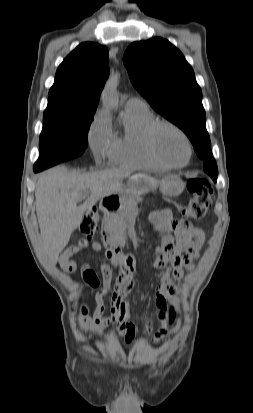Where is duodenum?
Wrapping results in <instances>:
<instances>
[{
  "label": "duodenum",
  "instance_id": "410a0bca",
  "mask_svg": "<svg viewBox=\"0 0 253 413\" xmlns=\"http://www.w3.org/2000/svg\"><path fill=\"white\" fill-rule=\"evenodd\" d=\"M100 208L103 212L109 213L115 210L116 205L109 199H103L100 203ZM103 237L108 245V250L112 255L117 256L120 253V248L112 230H110L109 228H104Z\"/></svg>",
  "mask_w": 253,
  "mask_h": 413
}]
</instances>
